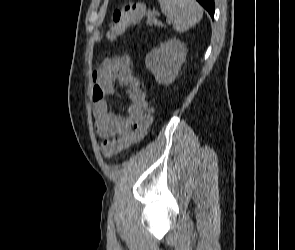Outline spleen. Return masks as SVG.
Here are the masks:
<instances>
[{
  "label": "spleen",
  "instance_id": "spleen-1",
  "mask_svg": "<svg viewBox=\"0 0 295 250\" xmlns=\"http://www.w3.org/2000/svg\"><path fill=\"white\" fill-rule=\"evenodd\" d=\"M162 13L172 21L178 32L187 31L203 16L202 7L196 0H158Z\"/></svg>",
  "mask_w": 295,
  "mask_h": 250
}]
</instances>
